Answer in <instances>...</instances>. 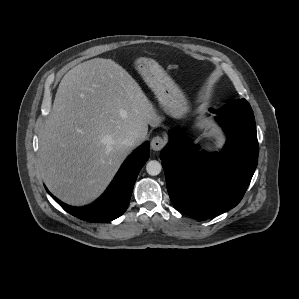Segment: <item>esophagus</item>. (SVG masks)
Segmentation results:
<instances>
[{"label": "esophagus", "mask_w": 299, "mask_h": 299, "mask_svg": "<svg viewBox=\"0 0 299 299\" xmlns=\"http://www.w3.org/2000/svg\"><path fill=\"white\" fill-rule=\"evenodd\" d=\"M165 139L162 138L161 136H155L152 140H151V148L154 151H160L164 146H165Z\"/></svg>", "instance_id": "esophagus-1"}]
</instances>
